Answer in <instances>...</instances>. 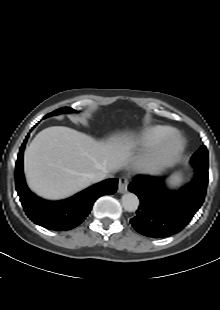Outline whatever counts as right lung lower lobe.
Masks as SVG:
<instances>
[{"instance_id":"right-lung-lower-lobe-1","label":"right lung lower lobe","mask_w":220,"mask_h":310,"mask_svg":"<svg viewBox=\"0 0 220 310\" xmlns=\"http://www.w3.org/2000/svg\"><path fill=\"white\" fill-rule=\"evenodd\" d=\"M28 136L18 154L15 186L26 215L35 224L56 231L71 230L84 221L96 199L116 192L118 179L113 178L97 183L62 201H46L31 193L23 174V151Z\"/></svg>"}]
</instances>
